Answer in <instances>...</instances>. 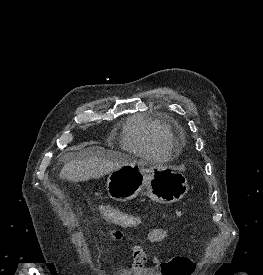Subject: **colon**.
Here are the masks:
<instances>
[{
  "label": "colon",
  "instance_id": "obj_1",
  "mask_svg": "<svg viewBox=\"0 0 263 275\" xmlns=\"http://www.w3.org/2000/svg\"><path fill=\"white\" fill-rule=\"evenodd\" d=\"M97 211L103 220L123 228H135L142 223L140 216L113 206L101 205L97 208ZM192 264V261L185 256L174 257L168 262L166 275H185L184 273L190 269Z\"/></svg>",
  "mask_w": 263,
  "mask_h": 275
}]
</instances>
